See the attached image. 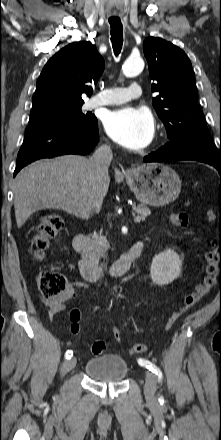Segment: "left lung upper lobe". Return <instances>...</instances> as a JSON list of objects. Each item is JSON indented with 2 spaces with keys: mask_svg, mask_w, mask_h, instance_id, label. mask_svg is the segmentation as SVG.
Masks as SVG:
<instances>
[{
  "mask_svg": "<svg viewBox=\"0 0 221 440\" xmlns=\"http://www.w3.org/2000/svg\"><path fill=\"white\" fill-rule=\"evenodd\" d=\"M143 51L155 81L152 91L159 92L152 103L171 140L166 148L182 155L221 158L198 106L195 74L185 52L158 37L146 38Z\"/></svg>",
  "mask_w": 221,
  "mask_h": 440,
  "instance_id": "left-lung-upper-lobe-1",
  "label": "left lung upper lobe"
}]
</instances>
